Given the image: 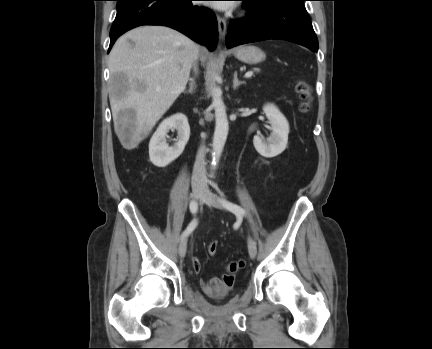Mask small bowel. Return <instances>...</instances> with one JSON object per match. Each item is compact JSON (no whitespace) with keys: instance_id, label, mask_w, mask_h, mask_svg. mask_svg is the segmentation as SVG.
<instances>
[{"instance_id":"1","label":"small bowel","mask_w":432,"mask_h":349,"mask_svg":"<svg viewBox=\"0 0 432 349\" xmlns=\"http://www.w3.org/2000/svg\"><path fill=\"white\" fill-rule=\"evenodd\" d=\"M194 270L199 273L201 264L198 259H192ZM234 282V275L226 273L221 277H214L211 280H202L201 285L204 291L208 294H219L228 290Z\"/></svg>"}]
</instances>
